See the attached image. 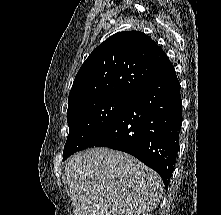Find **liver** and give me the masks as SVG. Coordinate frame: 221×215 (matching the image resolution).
Masks as SVG:
<instances>
[{
  "label": "liver",
  "mask_w": 221,
  "mask_h": 215,
  "mask_svg": "<svg viewBox=\"0 0 221 215\" xmlns=\"http://www.w3.org/2000/svg\"><path fill=\"white\" fill-rule=\"evenodd\" d=\"M75 215H140L160 202V176L137 158L109 148H91L65 164Z\"/></svg>",
  "instance_id": "1"
}]
</instances>
